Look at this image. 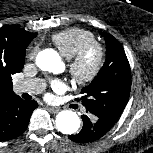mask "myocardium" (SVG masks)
<instances>
[{
  "instance_id": "1",
  "label": "myocardium",
  "mask_w": 153,
  "mask_h": 153,
  "mask_svg": "<svg viewBox=\"0 0 153 153\" xmlns=\"http://www.w3.org/2000/svg\"><path fill=\"white\" fill-rule=\"evenodd\" d=\"M92 51L96 52L95 62L88 71H85L83 68L84 61ZM105 59L106 50L100 42L96 40L87 42L69 59L68 68L72 81L78 86L91 84L102 71Z\"/></svg>"
}]
</instances>
